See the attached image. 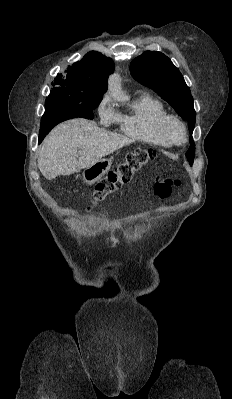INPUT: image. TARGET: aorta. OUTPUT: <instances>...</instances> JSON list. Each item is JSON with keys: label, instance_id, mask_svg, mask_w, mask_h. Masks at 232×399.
<instances>
[{"label": "aorta", "instance_id": "obj_1", "mask_svg": "<svg viewBox=\"0 0 232 399\" xmlns=\"http://www.w3.org/2000/svg\"><path fill=\"white\" fill-rule=\"evenodd\" d=\"M108 90L110 95L114 98V100L119 102L127 100V96L123 93L121 89L120 79L118 76L113 75L109 79Z\"/></svg>", "mask_w": 232, "mask_h": 399}]
</instances>
